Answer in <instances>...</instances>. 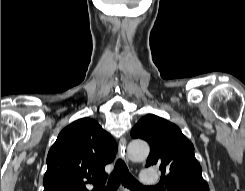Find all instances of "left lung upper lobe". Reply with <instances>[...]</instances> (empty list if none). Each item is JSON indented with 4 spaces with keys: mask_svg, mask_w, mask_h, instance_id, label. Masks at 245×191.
<instances>
[{
    "mask_svg": "<svg viewBox=\"0 0 245 191\" xmlns=\"http://www.w3.org/2000/svg\"><path fill=\"white\" fill-rule=\"evenodd\" d=\"M131 137L150 144L146 167L159 166L162 187L167 191H209L194 146L176 124L149 114L132 128Z\"/></svg>",
    "mask_w": 245,
    "mask_h": 191,
    "instance_id": "left-lung-upper-lobe-1",
    "label": "left lung upper lobe"
}]
</instances>
